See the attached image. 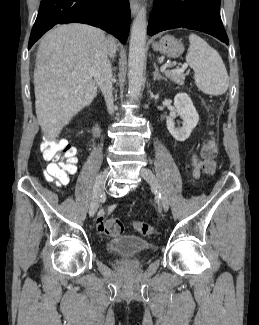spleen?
Wrapping results in <instances>:
<instances>
[{
    "label": "spleen",
    "instance_id": "3e777b00",
    "mask_svg": "<svg viewBox=\"0 0 259 325\" xmlns=\"http://www.w3.org/2000/svg\"><path fill=\"white\" fill-rule=\"evenodd\" d=\"M189 42L186 61L194 70L196 86L209 95L224 94L229 77L219 53L196 34L189 35Z\"/></svg>",
    "mask_w": 259,
    "mask_h": 325
}]
</instances>
